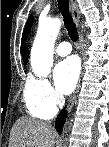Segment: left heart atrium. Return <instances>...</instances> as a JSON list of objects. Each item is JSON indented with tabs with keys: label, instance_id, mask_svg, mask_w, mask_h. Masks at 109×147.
I'll return each instance as SVG.
<instances>
[{
	"label": "left heart atrium",
	"instance_id": "1",
	"mask_svg": "<svg viewBox=\"0 0 109 147\" xmlns=\"http://www.w3.org/2000/svg\"><path fill=\"white\" fill-rule=\"evenodd\" d=\"M79 78V64L76 58L69 57L59 62L53 71L54 84L61 94H69Z\"/></svg>",
	"mask_w": 109,
	"mask_h": 147
}]
</instances>
